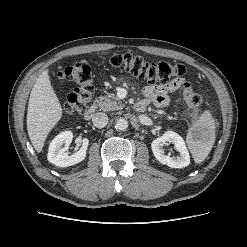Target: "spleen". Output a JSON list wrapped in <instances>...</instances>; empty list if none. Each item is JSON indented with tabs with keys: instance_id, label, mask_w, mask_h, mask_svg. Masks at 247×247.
<instances>
[{
	"instance_id": "spleen-1",
	"label": "spleen",
	"mask_w": 247,
	"mask_h": 247,
	"mask_svg": "<svg viewBox=\"0 0 247 247\" xmlns=\"http://www.w3.org/2000/svg\"><path fill=\"white\" fill-rule=\"evenodd\" d=\"M195 127L204 131L202 140L188 138V145L196 163H201L210 153L215 141V120L209 110L203 112Z\"/></svg>"
}]
</instances>
